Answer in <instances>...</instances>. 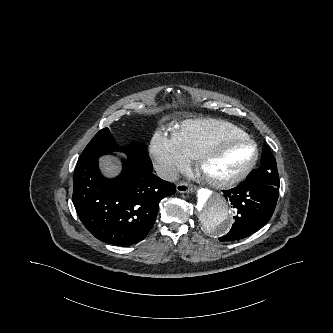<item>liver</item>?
Listing matches in <instances>:
<instances>
[{
	"label": "liver",
	"instance_id": "1",
	"mask_svg": "<svg viewBox=\"0 0 333 333\" xmlns=\"http://www.w3.org/2000/svg\"><path fill=\"white\" fill-rule=\"evenodd\" d=\"M100 167L108 177H114L120 172V167L109 157H102L100 159Z\"/></svg>",
	"mask_w": 333,
	"mask_h": 333
}]
</instances>
